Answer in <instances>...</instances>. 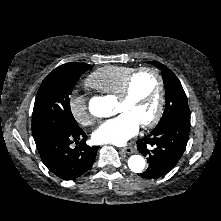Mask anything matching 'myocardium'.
Masks as SVG:
<instances>
[{
	"mask_svg": "<svg viewBox=\"0 0 221 221\" xmlns=\"http://www.w3.org/2000/svg\"><path fill=\"white\" fill-rule=\"evenodd\" d=\"M143 73H150L154 75L158 81V101L154 115L152 118L140 124V126L144 129L154 127L162 117L164 111V104H165V82L162 74L155 68L152 67H141L135 69L125 80L124 85L117 95V99L121 102L128 100L131 96L132 86L135 79Z\"/></svg>",
	"mask_w": 221,
	"mask_h": 221,
	"instance_id": "obj_1",
	"label": "myocardium"
}]
</instances>
